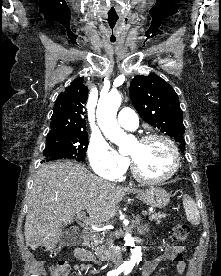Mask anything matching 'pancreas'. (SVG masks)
Here are the masks:
<instances>
[{"label": "pancreas", "mask_w": 221, "mask_h": 276, "mask_svg": "<svg viewBox=\"0 0 221 276\" xmlns=\"http://www.w3.org/2000/svg\"><path fill=\"white\" fill-rule=\"evenodd\" d=\"M165 217V214L161 213H152L149 216L150 220H155L157 224L162 222V219ZM104 242L103 237L101 238L98 234L93 236V242L91 243L92 246H98Z\"/></svg>", "instance_id": "pancreas-1"}]
</instances>
